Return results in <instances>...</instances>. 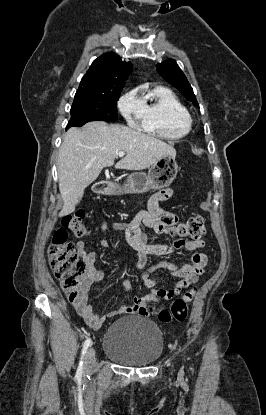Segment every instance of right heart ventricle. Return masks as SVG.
Segmentation results:
<instances>
[{
	"instance_id": "e07e8e85",
	"label": "right heart ventricle",
	"mask_w": 266,
	"mask_h": 415,
	"mask_svg": "<svg viewBox=\"0 0 266 415\" xmlns=\"http://www.w3.org/2000/svg\"><path fill=\"white\" fill-rule=\"evenodd\" d=\"M142 128L164 139H179L191 130L187 107L170 89L155 87L142 98Z\"/></svg>"
}]
</instances>
